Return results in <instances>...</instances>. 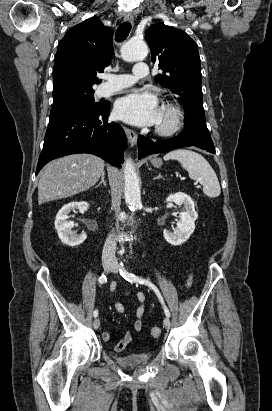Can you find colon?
<instances>
[{
  "instance_id": "colon-1",
  "label": "colon",
  "mask_w": 272,
  "mask_h": 411,
  "mask_svg": "<svg viewBox=\"0 0 272 411\" xmlns=\"http://www.w3.org/2000/svg\"><path fill=\"white\" fill-rule=\"evenodd\" d=\"M192 278L190 277L188 280V286L191 285ZM162 330L160 327H153L150 331V335L152 338L157 339L161 336Z\"/></svg>"
}]
</instances>
